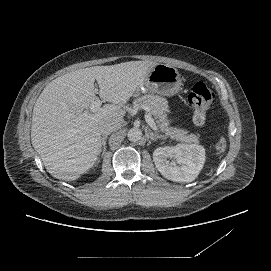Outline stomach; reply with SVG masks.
<instances>
[{
	"label": "stomach",
	"instance_id": "obj_1",
	"mask_svg": "<svg viewBox=\"0 0 271 271\" xmlns=\"http://www.w3.org/2000/svg\"><path fill=\"white\" fill-rule=\"evenodd\" d=\"M182 84L181 74L177 68L158 63L153 67L141 90L172 97L182 89Z\"/></svg>",
	"mask_w": 271,
	"mask_h": 271
}]
</instances>
